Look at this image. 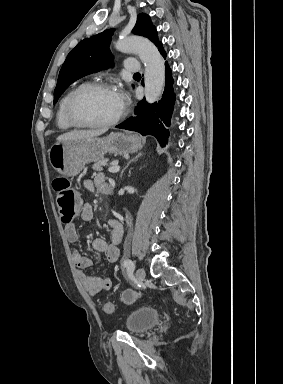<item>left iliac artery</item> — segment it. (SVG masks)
I'll return each mask as SVG.
<instances>
[{"label": "left iliac artery", "mask_w": 283, "mask_h": 384, "mask_svg": "<svg viewBox=\"0 0 283 384\" xmlns=\"http://www.w3.org/2000/svg\"><path fill=\"white\" fill-rule=\"evenodd\" d=\"M123 266L126 267L128 273H132L135 269V264L130 259L125 260L123 262Z\"/></svg>", "instance_id": "left-iliac-artery-1"}]
</instances>
